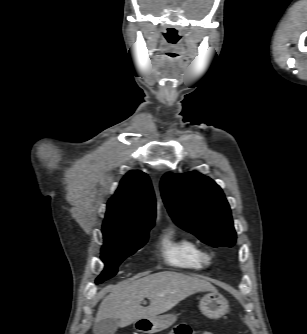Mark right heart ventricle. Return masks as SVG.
I'll list each match as a JSON object with an SVG mask.
<instances>
[{"mask_svg":"<svg viewBox=\"0 0 307 334\" xmlns=\"http://www.w3.org/2000/svg\"><path fill=\"white\" fill-rule=\"evenodd\" d=\"M158 248L163 261L172 267L196 271L205 266L198 244L174 227H167L161 232Z\"/></svg>","mask_w":307,"mask_h":334,"instance_id":"right-heart-ventricle-1","label":"right heart ventricle"}]
</instances>
